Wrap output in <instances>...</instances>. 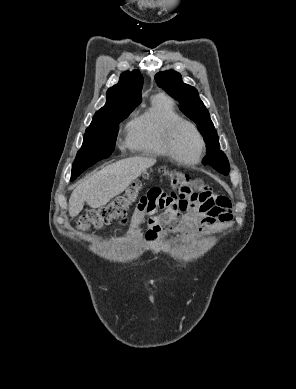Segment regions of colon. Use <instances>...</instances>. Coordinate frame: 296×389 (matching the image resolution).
I'll list each match as a JSON object with an SVG mask.
<instances>
[{
	"label": "colon",
	"instance_id": "colon-1",
	"mask_svg": "<svg viewBox=\"0 0 296 389\" xmlns=\"http://www.w3.org/2000/svg\"><path fill=\"white\" fill-rule=\"evenodd\" d=\"M162 172L169 178L172 187L182 197L210 191L201 179L191 178L182 170L163 168ZM140 189L141 184L136 182L124 194L117 196L106 205L87 211L79 220V228L82 230L101 228L112 221L125 219L130 207L137 201ZM156 196L157 194H154L153 197Z\"/></svg>",
	"mask_w": 296,
	"mask_h": 389
}]
</instances>
